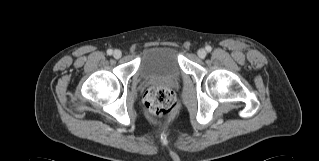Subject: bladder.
Masks as SVG:
<instances>
[{
	"label": "bladder",
	"mask_w": 319,
	"mask_h": 161,
	"mask_svg": "<svg viewBox=\"0 0 319 161\" xmlns=\"http://www.w3.org/2000/svg\"><path fill=\"white\" fill-rule=\"evenodd\" d=\"M139 73L143 79H179L181 64L178 48L172 44H154L146 47L140 58Z\"/></svg>",
	"instance_id": "bladder-1"
}]
</instances>
